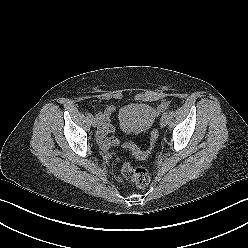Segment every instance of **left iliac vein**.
I'll return each instance as SVG.
<instances>
[{
    "label": "left iliac vein",
    "mask_w": 248,
    "mask_h": 248,
    "mask_svg": "<svg viewBox=\"0 0 248 248\" xmlns=\"http://www.w3.org/2000/svg\"><path fill=\"white\" fill-rule=\"evenodd\" d=\"M167 125V117L162 116L160 119V126L165 127Z\"/></svg>",
    "instance_id": "obj_1"
}]
</instances>
